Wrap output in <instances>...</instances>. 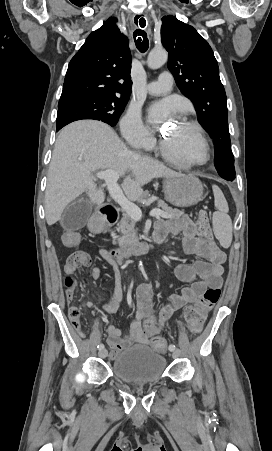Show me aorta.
<instances>
[{
	"label": "aorta",
	"mask_w": 272,
	"mask_h": 451,
	"mask_svg": "<svg viewBox=\"0 0 272 451\" xmlns=\"http://www.w3.org/2000/svg\"><path fill=\"white\" fill-rule=\"evenodd\" d=\"M167 60L168 52L166 50H152L147 58V64L152 70H157V68H161L163 64H166ZM139 265H141L140 269H143L141 261Z\"/></svg>",
	"instance_id": "aorta-1"
}]
</instances>
